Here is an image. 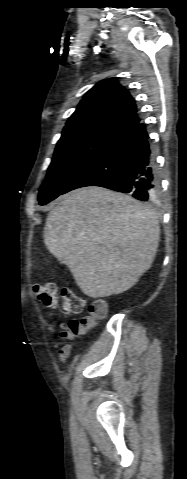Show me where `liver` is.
<instances>
[{
    "label": "liver",
    "instance_id": "obj_1",
    "mask_svg": "<svg viewBox=\"0 0 187 479\" xmlns=\"http://www.w3.org/2000/svg\"><path fill=\"white\" fill-rule=\"evenodd\" d=\"M159 238L156 213L131 196L102 187L59 197L44 227L47 249L92 298L132 288L151 267Z\"/></svg>",
    "mask_w": 187,
    "mask_h": 479
}]
</instances>
